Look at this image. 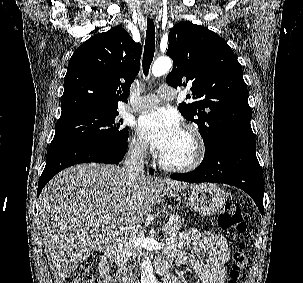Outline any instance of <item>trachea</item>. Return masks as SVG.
I'll list each match as a JSON object with an SVG mask.
<instances>
[{
    "label": "trachea",
    "instance_id": "obj_1",
    "mask_svg": "<svg viewBox=\"0 0 303 283\" xmlns=\"http://www.w3.org/2000/svg\"><path fill=\"white\" fill-rule=\"evenodd\" d=\"M155 52V25L152 19L147 18L146 40L143 54V72L147 76Z\"/></svg>",
    "mask_w": 303,
    "mask_h": 283
}]
</instances>
